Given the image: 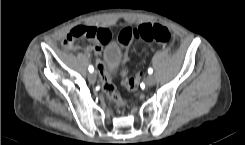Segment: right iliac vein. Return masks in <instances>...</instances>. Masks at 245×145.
Instances as JSON below:
<instances>
[{"instance_id": "obj_1", "label": "right iliac vein", "mask_w": 245, "mask_h": 145, "mask_svg": "<svg viewBox=\"0 0 245 145\" xmlns=\"http://www.w3.org/2000/svg\"><path fill=\"white\" fill-rule=\"evenodd\" d=\"M88 80L91 84H94L96 82V75L94 73H90L88 76Z\"/></svg>"}]
</instances>
